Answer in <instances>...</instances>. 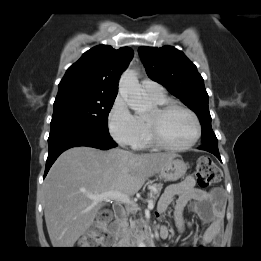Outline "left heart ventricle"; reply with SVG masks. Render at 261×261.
<instances>
[{"label": "left heart ventricle", "instance_id": "obj_1", "mask_svg": "<svg viewBox=\"0 0 261 261\" xmlns=\"http://www.w3.org/2000/svg\"><path fill=\"white\" fill-rule=\"evenodd\" d=\"M146 118L158 124L160 135L163 140L172 145H184L188 143L195 134V124L189 114L180 109H174L158 118L153 109Z\"/></svg>", "mask_w": 261, "mask_h": 261}]
</instances>
